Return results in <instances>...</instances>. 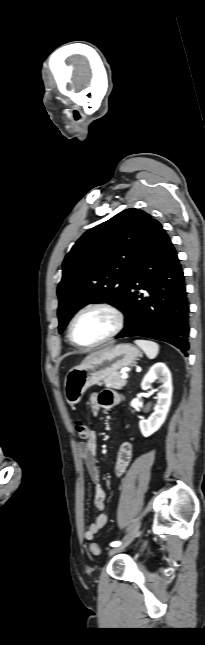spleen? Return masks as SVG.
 Masks as SVG:
<instances>
[{
	"label": "spleen",
	"mask_w": 205,
	"mask_h": 645,
	"mask_svg": "<svg viewBox=\"0 0 205 645\" xmlns=\"http://www.w3.org/2000/svg\"><path fill=\"white\" fill-rule=\"evenodd\" d=\"M134 342L145 352L148 358L154 359L158 355L159 345L156 342L149 340H135Z\"/></svg>",
	"instance_id": "3e777b00"
}]
</instances>
